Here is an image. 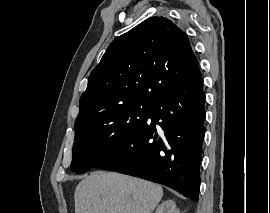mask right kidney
<instances>
[{
  "label": "right kidney",
  "mask_w": 270,
  "mask_h": 213,
  "mask_svg": "<svg viewBox=\"0 0 270 213\" xmlns=\"http://www.w3.org/2000/svg\"><path fill=\"white\" fill-rule=\"evenodd\" d=\"M154 213H180L173 200L162 202Z\"/></svg>",
  "instance_id": "ca27d5eb"
}]
</instances>
